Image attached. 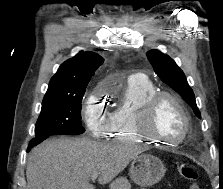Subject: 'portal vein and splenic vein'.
I'll use <instances>...</instances> for the list:
<instances>
[{"mask_svg": "<svg viewBox=\"0 0 223 189\" xmlns=\"http://www.w3.org/2000/svg\"><path fill=\"white\" fill-rule=\"evenodd\" d=\"M98 172H95V173H93L92 175H91V180L92 181H94V180H96V178L98 177Z\"/></svg>", "mask_w": 223, "mask_h": 189, "instance_id": "1", "label": "portal vein and splenic vein"}]
</instances>
